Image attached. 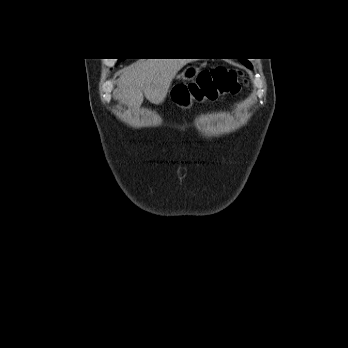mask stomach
<instances>
[{
    "instance_id": "obj_1",
    "label": "stomach",
    "mask_w": 348,
    "mask_h": 348,
    "mask_svg": "<svg viewBox=\"0 0 348 348\" xmlns=\"http://www.w3.org/2000/svg\"><path fill=\"white\" fill-rule=\"evenodd\" d=\"M198 72H199V70L197 67H194V66L187 67L179 75V78L182 79L183 81H190V80H193L195 78V76L197 75ZM184 86H186V85L184 84ZM192 99H193V96L190 95L189 100H186V103L183 106L190 107L192 105V102H193Z\"/></svg>"
}]
</instances>
